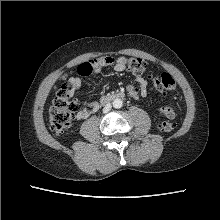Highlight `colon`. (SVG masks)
<instances>
[{
    "label": "colon",
    "mask_w": 220,
    "mask_h": 220,
    "mask_svg": "<svg viewBox=\"0 0 220 220\" xmlns=\"http://www.w3.org/2000/svg\"><path fill=\"white\" fill-rule=\"evenodd\" d=\"M101 62V60H99ZM125 63L133 74L142 75L147 69V62L139 57H129ZM91 68H86L85 73L89 74ZM154 86L158 91L169 92L176 88V82L169 73H162L154 78ZM78 100L74 97V92L70 81L66 80L56 89V95L50 110L51 130L60 134L68 130L76 116ZM160 114L166 120L162 121L159 129L163 133H170L174 129V123L170 120L174 118L175 112L170 105L161 108Z\"/></svg>",
    "instance_id": "1"
}]
</instances>
